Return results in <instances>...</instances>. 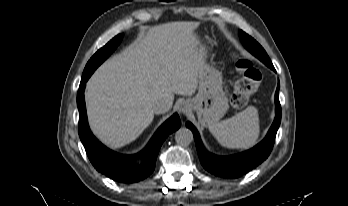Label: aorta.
<instances>
[{
	"mask_svg": "<svg viewBox=\"0 0 348 206\" xmlns=\"http://www.w3.org/2000/svg\"><path fill=\"white\" fill-rule=\"evenodd\" d=\"M175 140L178 144L187 146L194 140L193 133L190 129L182 127L175 133Z\"/></svg>",
	"mask_w": 348,
	"mask_h": 206,
	"instance_id": "762f6f07",
	"label": "aorta"
}]
</instances>
